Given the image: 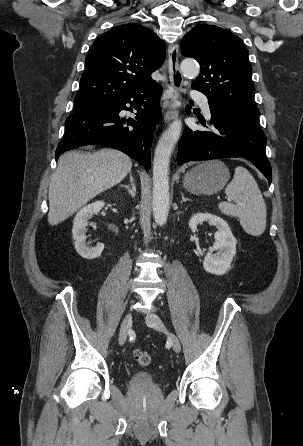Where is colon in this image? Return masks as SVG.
<instances>
[{
	"mask_svg": "<svg viewBox=\"0 0 303 446\" xmlns=\"http://www.w3.org/2000/svg\"><path fill=\"white\" fill-rule=\"evenodd\" d=\"M134 360L140 366H148L151 362V356L146 351L136 350L134 352Z\"/></svg>",
	"mask_w": 303,
	"mask_h": 446,
	"instance_id": "obj_1",
	"label": "colon"
}]
</instances>
